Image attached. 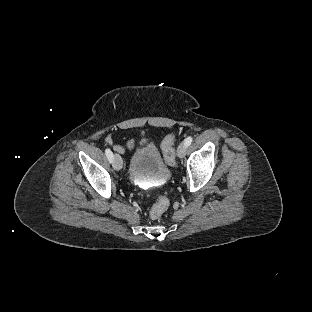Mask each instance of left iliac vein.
<instances>
[{"mask_svg":"<svg viewBox=\"0 0 312 312\" xmlns=\"http://www.w3.org/2000/svg\"><path fill=\"white\" fill-rule=\"evenodd\" d=\"M186 144L185 143H181L178 147V150H177V155L179 158H183L186 154Z\"/></svg>","mask_w":312,"mask_h":312,"instance_id":"obj_1","label":"left iliac vein"}]
</instances>
